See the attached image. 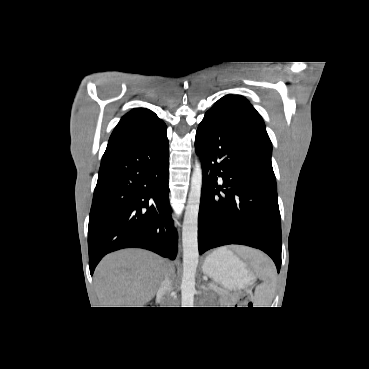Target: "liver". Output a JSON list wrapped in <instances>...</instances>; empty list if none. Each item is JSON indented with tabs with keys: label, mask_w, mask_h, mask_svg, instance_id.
Masks as SVG:
<instances>
[{
	"label": "liver",
	"mask_w": 369,
	"mask_h": 369,
	"mask_svg": "<svg viewBox=\"0 0 369 369\" xmlns=\"http://www.w3.org/2000/svg\"><path fill=\"white\" fill-rule=\"evenodd\" d=\"M167 271L168 262L146 250L108 254L94 273L98 298L103 307H143L154 298Z\"/></svg>",
	"instance_id": "obj_1"
}]
</instances>
